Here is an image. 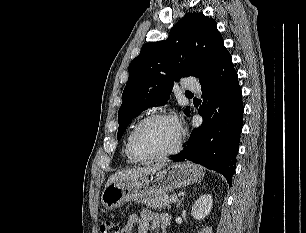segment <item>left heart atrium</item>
<instances>
[{
    "label": "left heart atrium",
    "mask_w": 306,
    "mask_h": 233,
    "mask_svg": "<svg viewBox=\"0 0 306 233\" xmlns=\"http://www.w3.org/2000/svg\"><path fill=\"white\" fill-rule=\"evenodd\" d=\"M175 122H176L178 128H180V127H181V122H180V120L177 119Z\"/></svg>",
    "instance_id": "left-heart-atrium-1"
}]
</instances>
